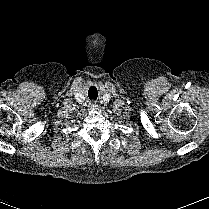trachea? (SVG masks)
Segmentation results:
<instances>
[{
    "label": "trachea",
    "instance_id": "obj_1",
    "mask_svg": "<svg viewBox=\"0 0 209 209\" xmlns=\"http://www.w3.org/2000/svg\"><path fill=\"white\" fill-rule=\"evenodd\" d=\"M88 96H89V99L91 100H96L97 97H98V92H97V89L96 87L92 86L89 91H88Z\"/></svg>",
    "mask_w": 209,
    "mask_h": 209
}]
</instances>
